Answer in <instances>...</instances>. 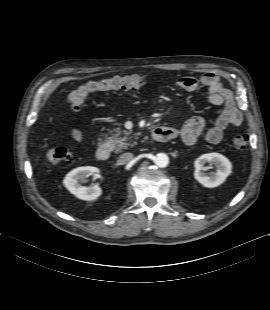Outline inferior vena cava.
Masks as SVG:
<instances>
[{
    "label": "inferior vena cava",
    "mask_w": 270,
    "mask_h": 310,
    "mask_svg": "<svg viewBox=\"0 0 270 310\" xmlns=\"http://www.w3.org/2000/svg\"><path fill=\"white\" fill-rule=\"evenodd\" d=\"M133 157H134L133 154L130 152L123 153L122 155H120L118 162L120 164H127L133 159Z\"/></svg>",
    "instance_id": "602c4592"
}]
</instances>
